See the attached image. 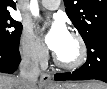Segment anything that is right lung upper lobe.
I'll return each mask as SVG.
<instances>
[{
	"label": "right lung upper lobe",
	"mask_w": 107,
	"mask_h": 89,
	"mask_svg": "<svg viewBox=\"0 0 107 89\" xmlns=\"http://www.w3.org/2000/svg\"><path fill=\"white\" fill-rule=\"evenodd\" d=\"M9 8L16 9V5L13 0H0V15H9Z\"/></svg>",
	"instance_id": "obj_1"
}]
</instances>
